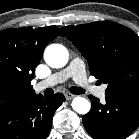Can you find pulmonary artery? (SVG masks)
I'll list each match as a JSON object with an SVG mask.
<instances>
[{"mask_svg":"<svg viewBox=\"0 0 139 139\" xmlns=\"http://www.w3.org/2000/svg\"><path fill=\"white\" fill-rule=\"evenodd\" d=\"M72 78L80 88L102 99L105 97L106 86H96L87 79L85 66L81 59L74 58L70 64L63 70L52 74L47 79L39 82L35 89L40 91L47 87L54 86L59 83L65 82L67 79Z\"/></svg>","mask_w":139,"mask_h":139,"instance_id":"1","label":"pulmonary artery"}]
</instances>
